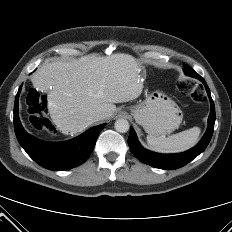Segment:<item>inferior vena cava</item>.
Masks as SVG:
<instances>
[{
  "instance_id": "1",
  "label": "inferior vena cava",
  "mask_w": 232,
  "mask_h": 232,
  "mask_svg": "<svg viewBox=\"0 0 232 232\" xmlns=\"http://www.w3.org/2000/svg\"><path fill=\"white\" fill-rule=\"evenodd\" d=\"M102 115L101 114H92V116H91V119H92V121H98V120H100V119H102Z\"/></svg>"
}]
</instances>
